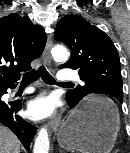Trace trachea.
Returning <instances> with one entry per match:
<instances>
[{
    "label": "trachea",
    "instance_id": "obj_1",
    "mask_svg": "<svg viewBox=\"0 0 130 153\" xmlns=\"http://www.w3.org/2000/svg\"><path fill=\"white\" fill-rule=\"evenodd\" d=\"M41 79L47 84H55V80L53 77L48 73L46 68L42 65L37 70H32L24 74L22 78L21 84L29 85L36 80ZM57 85L64 86V85H72L71 83H56Z\"/></svg>",
    "mask_w": 130,
    "mask_h": 153
}]
</instances>
